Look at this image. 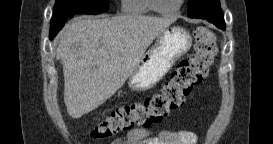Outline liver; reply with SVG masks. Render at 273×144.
I'll return each mask as SVG.
<instances>
[{"label": "liver", "mask_w": 273, "mask_h": 144, "mask_svg": "<svg viewBox=\"0 0 273 144\" xmlns=\"http://www.w3.org/2000/svg\"><path fill=\"white\" fill-rule=\"evenodd\" d=\"M173 22L141 15L73 18L61 31L56 53L63 63L68 114L78 119L112 97Z\"/></svg>", "instance_id": "6515ba94"}]
</instances>
